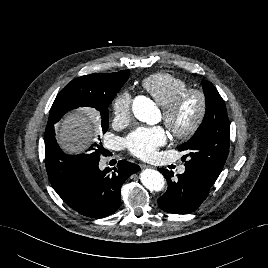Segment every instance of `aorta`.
Returning <instances> with one entry per match:
<instances>
[{
  "mask_svg": "<svg viewBox=\"0 0 268 268\" xmlns=\"http://www.w3.org/2000/svg\"><path fill=\"white\" fill-rule=\"evenodd\" d=\"M135 117L149 125L159 122L160 113L152 100L144 96H138L134 99L132 105ZM142 184L150 191H161L164 187V177L153 169H145L140 174Z\"/></svg>",
  "mask_w": 268,
  "mask_h": 268,
  "instance_id": "1",
  "label": "aorta"
}]
</instances>
